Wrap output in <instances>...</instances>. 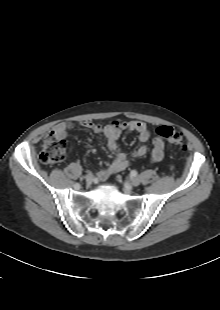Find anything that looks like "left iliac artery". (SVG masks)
I'll use <instances>...</instances> for the list:
<instances>
[{"label":"left iliac artery","instance_id":"44dca946","mask_svg":"<svg viewBox=\"0 0 220 310\" xmlns=\"http://www.w3.org/2000/svg\"><path fill=\"white\" fill-rule=\"evenodd\" d=\"M131 177H136L137 176V171L136 170H132L130 173Z\"/></svg>","mask_w":220,"mask_h":310}]
</instances>
